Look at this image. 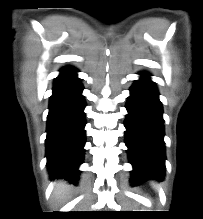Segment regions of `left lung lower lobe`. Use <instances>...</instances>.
Returning <instances> with one entry per match:
<instances>
[{
    "label": "left lung lower lobe",
    "mask_w": 203,
    "mask_h": 219,
    "mask_svg": "<svg viewBox=\"0 0 203 219\" xmlns=\"http://www.w3.org/2000/svg\"><path fill=\"white\" fill-rule=\"evenodd\" d=\"M130 88L125 120L126 146L133 165L131 182L162 179L165 174V143L162 104L156 85L147 73Z\"/></svg>",
    "instance_id": "0a47b994"
}]
</instances>
